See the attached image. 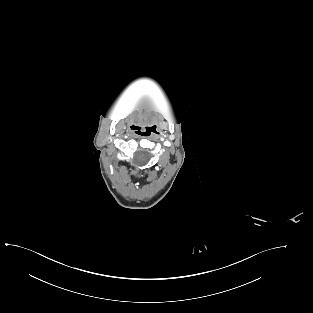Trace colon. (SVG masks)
Here are the masks:
<instances>
[{"label":"colon","mask_w":313,"mask_h":313,"mask_svg":"<svg viewBox=\"0 0 313 313\" xmlns=\"http://www.w3.org/2000/svg\"><path fill=\"white\" fill-rule=\"evenodd\" d=\"M228 237H229V242H230V241H232V238H231V236H228Z\"/></svg>","instance_id":"colon-1"}]
</instances>
